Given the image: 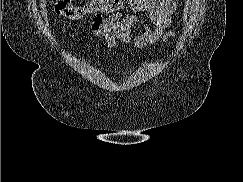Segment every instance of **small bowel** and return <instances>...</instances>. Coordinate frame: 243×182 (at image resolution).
Masks as SVG:
<instances>
[{"mask_svg":"<svg viewBox=\"0 0 243 182\" xmlns=\"http://www.w3.org/2000/svg\"><path fill=\"white\" fill-rule=\"evenodd\" d=\"M132 14L114 13L109 16L95 15L90 24L94 37L103 40L109 49H116L117 42L133 43L137 49L164 43L175 35L171 28L173 15L177 10L176 0H129ZM136 13H146L148 20L140 18ZM142 23L144 30L135 38L131 36V28Z\"/></svg>","mask_w":243,"mask_h":182,"instance_id":"1","label":"small bowel"}]
</instances>
